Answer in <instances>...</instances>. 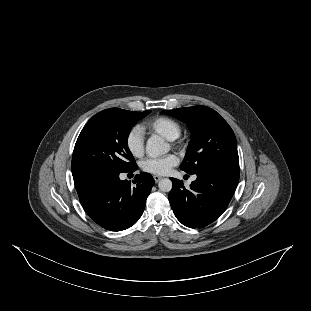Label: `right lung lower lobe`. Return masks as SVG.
Segmentation results:
<instances>
[{
  "mask_svg": "<svg viewBox=\"0 0 311 311\" xmlns=\"http://www.w3.org/2000/svg\"><path fill=\"white\" fill-rule=\"evenodd\" d=\"M119 175V172L94 169L73 176L84 210L93 221L110 231L125 230L138 221L155 183L145 172L135 176L134 186L120 180Z\"/></svg>",
  "mask_w": 311,
  "mask_h": 311,
  "instance_id": "obj_1",
  "label": "right lung lower lobe"
}]
</instances>
